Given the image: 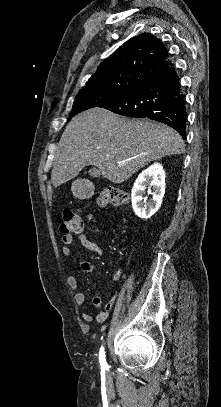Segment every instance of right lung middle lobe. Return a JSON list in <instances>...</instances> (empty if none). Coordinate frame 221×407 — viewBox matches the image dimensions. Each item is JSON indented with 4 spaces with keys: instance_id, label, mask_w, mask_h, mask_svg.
<instances>
[{
    "instance_id": "right-lung-middle-lobe-1",
    "label": "right lung middle lobe",
    "mask_w": 221,
    "mask_h": 407,
    "mask_svg": "<svg viewBox=\"0 0 221 407\" xmlns=\"http://www.w3.org/2000/svg\"><path fill=\"white\" fill-rule=\"evenodd\" d=\"M137 86L139 85L134 84L122 88L96 86L82 89L79 91L75 98V101L73 103V109L71 111V116L78 114L79 112L87 110L89 108L101 107L111 101H114L124 96Z\"/></svg>"
}]
</instances>
